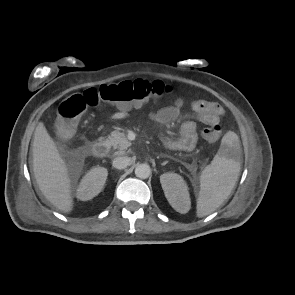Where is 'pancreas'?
<instances>
[{
    "label": "pancreas",
    "mask_w": 295,
    "mask_h": 295,
    "mask_svg": "<svg viewBox=\"0 0 295 295\" xmlns=\"http://www.w3.org/2000/svg\"><path fill=\"white\" fill-rule=\"evenodd\" d=\"M108 142L114 149H119L120 153H125V150L131 146V142L126 138L124 132L112 131L108 136Z\"/></svg>",
    "instance_id": "obj_1"
}]
</instances>
